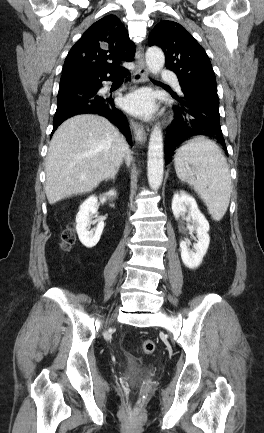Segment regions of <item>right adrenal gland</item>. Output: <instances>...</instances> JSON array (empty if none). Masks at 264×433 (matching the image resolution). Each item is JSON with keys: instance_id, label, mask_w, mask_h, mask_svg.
Instances as JSON below:
<instances>
[{"instance_id": "1", "label": "right adrenal gland", "mask_w": 264, "mask_h": 433, "mask_svg": "<svg viewBox=\"0 0 264 433\" xmlns=\"http://www.w3.org/2000/svg\"><path fill=\"white\" fill-rule=\"evenodd\" d=\"M118 170H116L112 175H110L108 178L105 179V181H109L110 179H112L113 181H115V176L117 174Z\"/></svg>"}]
</instances>
